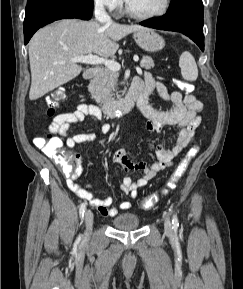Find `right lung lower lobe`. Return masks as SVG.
Returning <instances> with one entry per match:
<instances>
[{
    "instance_id": "1",
    "label": "right lung lower lobe",
    "mask_w": 243,
    "mask_h": 289,
    "mask_svg": "<svg viewBox=\"0 0 243 289\" xmlns=\"http://www.w3.org/2000/svg\"><path fill=\"white\" fill-rule=\"evenodd\" d=\"M93 0H28L24 20V42L42 26L55 20L79 18L89 20Z\"/></svg>"
}]
</instances>
